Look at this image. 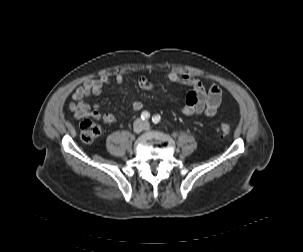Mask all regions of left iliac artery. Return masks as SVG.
<instances>
[{
  "mask_svg": "<svg viewBox=\"0 0 303 252\" xmlns=\"http://www.w3.org/2000/svg\"><path fill=\"white\" fill-rule=\"evenodd\" d=\"M160 120H161L160 115H154L152 117V121H153L154 124H158L160 122Z\"/></svg>",
  "mask_w": 303,
  "mask_h": 252,
  "instance_id": "1",
  "label": "left iliac artery"
}]
</instances>
